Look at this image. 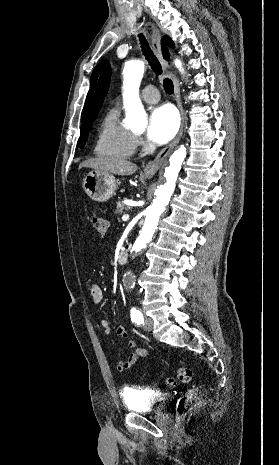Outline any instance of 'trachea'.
I'll return each mask as SVG.
<instances>
[{"label":"trachea","mask_w":279,"mask_h":465,"mask_svg":"<svg viewBox=\"0 0 279 465\" xmlns=\"http://www.w3.org/2000/svg\"><path fill=\"white\" fill-rule=\"evenodd\" d=\"M138 36H139L141 48H142V51H143V54H144L146 60L149 62V65L156 72V74L161 75L162 74L161 65H160L159 61L157 60V58L155 57V55L153 54L152 50L150 49L147 40L145 39L143 34H139ZM163 85H164L165 91L168 94L173 93V91H174L173 82L170 79L164 78Z\"/></svg>","instance_id":"trachea-1"}]
</instances>
